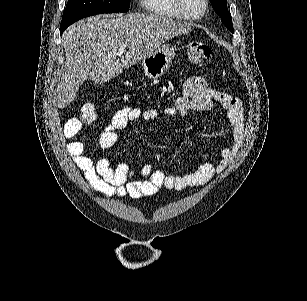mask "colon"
I'll return each mask as SVG.
<instances>
[{
  "label": "colon",
  "instance_id": "1",
  "mask_svg": "<svg viewBox=\"0 0 307 301\" xmlns=\"http://www.w3.org/2000/svg\"><path fill=\"white\" fill-rule=\"evenodd\" d=\"M187 54L191 62L202 63L210 58L212 49L206 43L193 41L187 47ZM95 118L96 111L93 105H86L82 108L80 120L83 124H90Z\"/></svg>",
  "mask_w": 307,
  "mask_h": 301
}]
</instances>
